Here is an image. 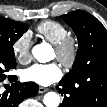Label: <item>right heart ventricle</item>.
Wrapping results in <instances>:
<instances>
[{"label": "right heart ventricle", "instance_id": "obj_1", "mask_svg": "<svg viewBox=\"0 0 107 107\" xmlns=\"http://www.w3.org/2000/svg\"><path fill=\"white\" fill-rule=\"evenodd\" d=\"M36 30L39 35L54 45L69 35V31L65 25L52 20L41 22Z\"/></svg>", "mask_w": 107, "mask_h": 107}]
</instances>
